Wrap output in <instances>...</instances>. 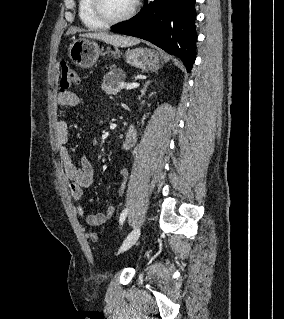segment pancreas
I'll use <instances>...</instances> for the list:
<instances>
[{"label":"pancreas","mask_w":284,"mask_h":319,"mask_svg":"<svg viewBox=\"0 0 284 319\" xmlns=\"http://www.w3.org/2000/svg\"><path fill=\"white\" fill-rule=\"evenodd\" d=\"M114 72H117V70H112L108 74L104 76L103 84H102V89L108 93V94H117L118 92L121 91L125 87L121 86L123 84V81L125 79V74L123 71H118L120 74V77L118 79H114L113 74Z\"/></svg>","instance_id":"cf45deb5"}]
</instances>
